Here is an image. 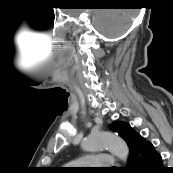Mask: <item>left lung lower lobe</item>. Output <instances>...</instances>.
<instances>
[{
    "instance_id": "0a47b994",
    "label": "left lung lower lobe",
    "mask_w": 173,
    "mask_h": 173,
    "mask_svg": "<svg viewBox=\"0 0 173 173\" xmlns=\"http://www.w3.org/2000/svg\"><path fill=\"white\" fill-rule=\"evenodd\" d=\"M162 158L153 144L140 134L133 138L125 173H161Z\"/></svg>"
}]
</instances>
